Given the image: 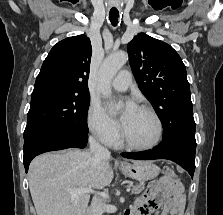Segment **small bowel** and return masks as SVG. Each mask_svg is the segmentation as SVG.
Masks as SVG:
<instances>
[{
	"label": "small bowel",
	"mask_w": 223,
	"mask_h": 215,
	"mask_svg": "<svg viewBox=\"0 0 223 215\" xmlns=\"http://www.w3.org/2000/svg\"><path fill=\"white\" fill-rule=\"evenodd\" d=\"M162 206L160 215H181L185 206L183 187L179 181L167 176L152 182L146 192L137 197L135 206L127 215H149Z\"/></svg>",
	"instance_id": "small-bowel-1"
}]
</instances>
